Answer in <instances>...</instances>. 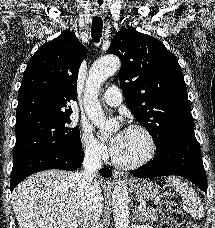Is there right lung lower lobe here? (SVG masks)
<instances>
[{"label":"right lung lower lobe","mask_w":215,"mask_h":228,"mask_svg":"<svg viewBox=\"0 0 215 228\" xmlns=\"http://www.w3.org/2000/svg\"><path fill=\"white\" fill-rule=\"evenodd\" d=\"M84 159L82 149H71L58 146H40L22 152L13 157L11 172V192L23 179L38 171L61 169L74 171L81 167ZM102 176L109 178L111 170L101 169Z\"/></svg>","instance_id":"obj_1"}]
</instances>
